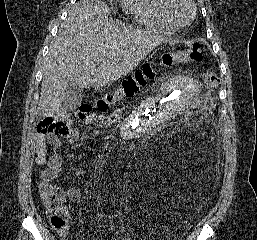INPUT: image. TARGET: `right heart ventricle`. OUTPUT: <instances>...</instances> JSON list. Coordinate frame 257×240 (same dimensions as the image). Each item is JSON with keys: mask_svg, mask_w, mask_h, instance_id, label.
I'll return each mask as SVG.
<instances>
[{"mask_svg": "<svg viewBox=\"0 0 257 240\" xmlns=\"http://www.w3.org/2000/svg\"><path fill=\"white\" fill-rule=\"evenodd\" d=\"M124 10L140 25L161 33H173L176 27L165 17L162 0H122Z\"/></svg>", "mask_w": 257, "mask_h": 240, "instance_id": "right-heart-ventricle-1", "label": "right heart ventricle"}]
</instances>
